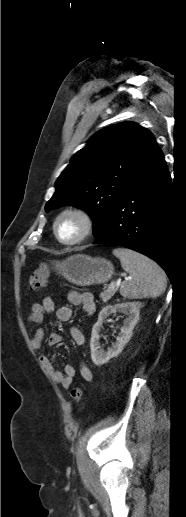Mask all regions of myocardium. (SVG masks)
<instances>
[{
    "label": "myocardium",
    "mask_w": 186,
    "mask_h": 517,
    "mask_svg": "<svg viewBox=\"0 0 186 517\" xmlns=\"http://www.w3.org/2000/svg\"><path fill=\"white\" fill-rule=\"evenodd\" d=\"M66 216L76 217L80 220L82 224V229L80 233L72 240H63L58 233V224L62 220V218ZM94 228V220L91 214L85 210L84 208L78 206H71L63 209L58 213L54 222H53V233L58 240L63 245L66 246H74L82 241H84L90 234L92 233Z\"/></svg>",
    "instance_id": "obj_1"
}]
</instances>
